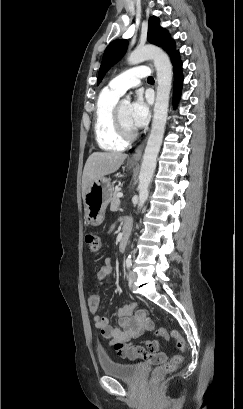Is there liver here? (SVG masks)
Here are the masks:
<instances>
[{
	"label": "liver",
	"mask_w": 243,
	"mask_h": 409,
	"mask_svg": "<svg viewBox=\"0 0 243 409\" xmlns=\"http://www.w3.org/2000/svg\"><path fill=\"white\" fill-rule=\"evenodd\" d=\"M127 158V154L118 152H94L84 166L82 176V195L95 181L117 171Z\"/></svg>",
	"instance_id": "1"
}]
</instances>
